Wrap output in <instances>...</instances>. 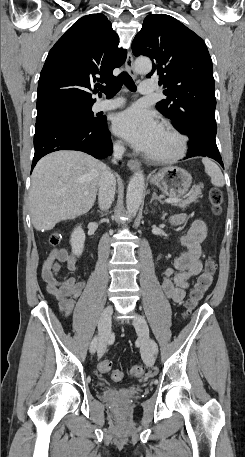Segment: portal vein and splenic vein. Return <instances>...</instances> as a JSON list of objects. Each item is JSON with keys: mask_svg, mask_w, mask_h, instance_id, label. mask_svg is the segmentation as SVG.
Masks as SVG:
<instances>
[{"mask_svg": "<svg viewBox=\"0 0 245 457\" xmlns=\"http://www.w3.org/2000/svg\"><path fill=\"white\" fill-rule=\"evenodd\" d=\"M183 198H165V202H180V200H183Z\"/></svg>", "mask_w": 245, "mask_h": 457, "instance_id": "obj_1", "label": "portal vein and splenic vein"}]
</instances>
